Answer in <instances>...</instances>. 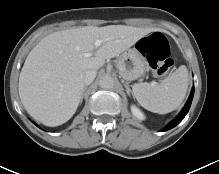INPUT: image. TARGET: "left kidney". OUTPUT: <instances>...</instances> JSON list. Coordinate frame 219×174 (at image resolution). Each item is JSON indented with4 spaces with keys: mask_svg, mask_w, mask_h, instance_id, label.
<instances>
[{
    "mask_svg": "<svg viewBox=\"0 0 219 174\" xmlns=\"http://www.w3.org/2000/svg\"><path fill=\"white\" fill-rule=\"evenodd\" d=\"M131 112L137 119L143 120L145 118L144 114L135 105L131 106Z\"/></svg>",
    "mask_w": 219,
    "mask_h": 174,
    "instance_id": "5707ae66",
    "label": "left kidney"
}]
</instances>
